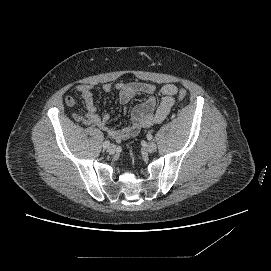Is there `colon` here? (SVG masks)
I'll list each match as a JSON object with an SVG mask.
<instances>
[{
	"label": "colon",
	"mask_w": 271,
	"mask_h": 271,
	"mask_svg": "<svg viewBox=\"0 0 271 271\" xmlns=\"http://www.w3.org/2000/svg\"><path fill=\"white\" fill-rule=\"evenodd\" d=\"M186 96H187V92L184 89L179 90V92L177 93V98L179 100H183Z\"/></svg>",
	"instance_id": "1"
}]
</instances>
